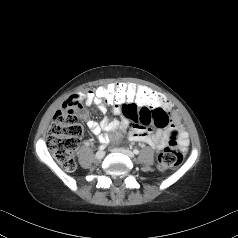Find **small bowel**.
I'll list each match as a JSON object with an SVG mask.
<instances>
[{"mask_svg": "<svg viewBox=\"0 0 238 238\" xmlns=\"http://www.w3.org/2000/svg\"><path fill=\"white\" fill-rule=\"evenodd\" d=\"M124 84V83H117ZM84 98L87 105H96L103 114L107 113L108 106L114 109L115 117L105 115L101 122L87 120V112L83 110L79 100ZM70 99L78 101V109L81 117L86 121L90 132L97 136L100 142L107 143L111 140L110 132L120 128L122 131L128 129L127 136L133 142L145 143L156 150L164 148L170 139L172 131L177 132L178 142L183 150L189 144L188 134L180 126V116L176 111L170 110L168 104L162 108L150 110L153 123L144 125L139 121L142 108L135 105H120L119 103L105 104L96 96V89L89 90L85 94H78ZM127 112H131L130 116Z\"/></svg>", "mask_w": 238, "mask_h": 238, "instance_id": "small-bowel-1", "label": "small bowel"}]
</instances>
